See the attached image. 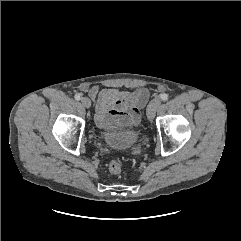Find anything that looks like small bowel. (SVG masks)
<instances>
[{
	"label": "small bowel",
	"instance_id": "c3829d8e",
	"mask_svg": "<svg viewBox=\"0 0 241 241\" xmlns=\"http://www.w3.org/2000/svg\"><path fill=\"white\" fill-rule=\"evenodd\" d=\"M89 96L95 103V121L100 128L133 129L140 122V110L148 101L149 92L145 88L121 91L94 86Z\"/></svg>",
	"mask_w": 241,
	"mask_h": 241
}]
</instances>
